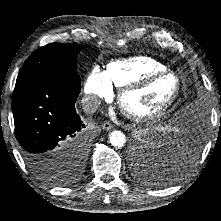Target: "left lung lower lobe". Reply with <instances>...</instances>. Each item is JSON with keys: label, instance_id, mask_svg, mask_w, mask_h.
I'll return each instance as SVG.
<instances>
[{"label": "left lung lower lobe", "instance_id": "left-lung-lower-lobe-1", "mask_svg": "<svg viewBox=\"0 0 221 221\" xmlns=\"http://www.w3.org/2000/svg\"><path fill=\"white\" fill-rule=\"evenodd\" d=\"M176 125L180 131L164 142L153 138L146 148H141L140 144L132 148L137 176L149 186L164 187L176 182L192 168L198 156L203 124L182 117Z\"/></svg>", "mask_w": 221, "mask_h": 221}]
</instances>
